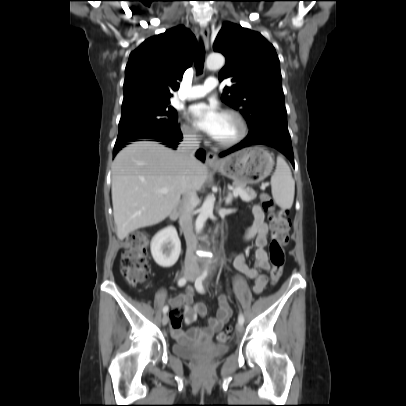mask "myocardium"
Returning a JSON list of instances; mask_svg holds the SVG:
<instances>
[{"instance_id": "obj_1", "label": "myocardium", "mask_w": 406, "mask_h": 406, "mask_svg": "<svg viewBox=\"0 0 406 406\" xmlns=\"http://www.w3.org/2000/svg\"><path fill=\"white\" fill-rule=\"evenodd\" d=\"M222 114L229 115L236 120V122L238 123V126H239V132L234 138H232L230 140L220 141V140H217L214 138V141L220 147H232V146L240 143L243 139H245V137L248 134V125H247V122L244 119V117L238 111H236L234 109H230V108L224 109L222 111Z\"/></svg>"}]
</instances>
